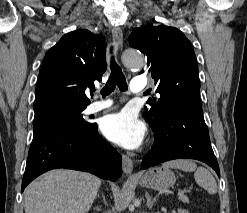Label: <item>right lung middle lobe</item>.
Returning <instances> with one entry per match:
<instances>
[{
	"label": "right lung middle lobe",
	"instance_id": "right-lung-middle-lobe-1",
	"mask_svg": "<svg viewBox=\"0 0 247 213\" xmlns=\"http://www.w3.org/2000/svg\"><path fill=\"white\" fill-rule=\"evenodd\" d=\"M87 105L79 104L73 101L58 100L47 103L46 105L35 109L33 128L38 124L47 122H61L71 125L90 126L91 123L83 118L82 112Z\"/></svg>",
	"mask_w": 247,
	"mask_h": 213
}]
</instances>
